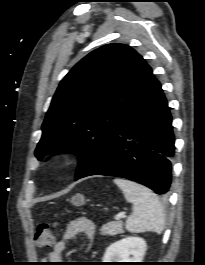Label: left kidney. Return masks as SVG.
I'll list each match as a JSON object with an SVG mask.
<instances>
[{"mask_svg": "<svg viewBox=\"0 0 205 265\" xmlns=\"http://www.w3.org/2000/svg\"><path fill=\"white\" fill-rule=\"evenodd\" d=\"M147 249L140 237H125L111 244L105 251L103 262H142Z\"/></svg>", "mask_w": 205, "mask_h": 265, "instance_id": "obj_1", "label": "left kidney"}]
</instances>
